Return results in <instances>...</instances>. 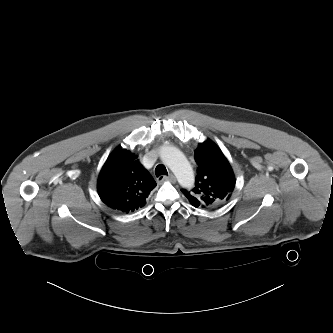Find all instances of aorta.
Segmentation results:
<instances>
[{
  "label": "aorta",
  "instance_id": "aorta-1",
  "mask_svg": "<svg viewBox=\"0 0 333 333\" xmlns=\"http://www.w3.org/2000/svg\"><path fill=\"white\" fill-rule=\"evenodd\" d=\"M160 158L176 175L179 184L185 188L194 186V173L185 155L176 147L163 145L160 148Z\"/></svg>",
  "mask_w": 333,
  "mask_h": 333
}]
</instances>
